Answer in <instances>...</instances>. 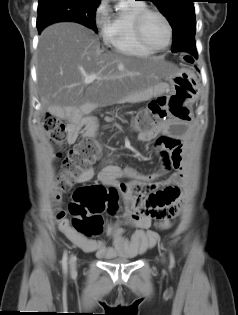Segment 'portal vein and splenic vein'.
Masks as SVG:
<instances>
[{
    "label": "portal vein and splenic vein",
    "instance_id": "18ae733b",
    "mask_svg": "<svg viewBox=\"0 0 238 315\" xmlns=\"http://www.w3.org/2000/svg\"><path fill=\"white\" fill-rule=\"evenodd\" d=\"M97 79V75L96 74H90V75H86L84 82L85 83H91L93 81H95Z\"/></svg>",
    "mask_w": 238,
    "mask_h": 315
}]
</instances>
